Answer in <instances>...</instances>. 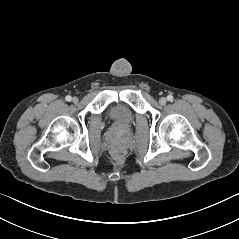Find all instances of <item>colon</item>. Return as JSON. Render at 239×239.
<instances>
[{
	"label": "colon",
	"instance_id": "1",
	"mask_svg": "<svg viewBox=\"0 0 239 239\" xmlns=\"http://www.w3.org/2000/svg\"><path fill=\"white\" fill-rule=\"evenodd\" d=\"M112 154L115 159L120 160L126 156L127 149L123 145L118 144L113 148Z\"/></svg>",
	"mask_w": 239,
	"mask_h": 239
}]
</instances>
